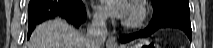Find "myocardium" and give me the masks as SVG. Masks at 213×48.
Listing matches in <instances>:
<instances>
[{
  "mask_svg": "<svg viewBox=\"0 0 213 48\" xmlns=\"http://www.w3.org/2000/svg\"><path fill=\"white\" fill-rule=\"evenodd\" d=\"M130 10V16L123 19V26L126 29H136L141 27L147 18V9L145 5L140 1H132L130 3Z\"/></svg>",
  "mask_w": 213,
  "mask_h": 48,
  "instance_id": "1",
  "label": "myocardium"
}]
</instances>
